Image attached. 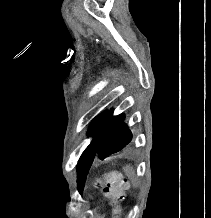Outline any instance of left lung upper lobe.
<instances>
[{
	"instance_id": "obj_1",
	"label": "left lung upper lobe",
	"mask_w": 211,
	"mask_h": 218,
	"mask_svg": "<svg viewBox=\"0 0 211 218\" xmlns=\"http://www.w3.org/2000/svg\"><path fill=\"white\" fill-rule=\"evenodd\" d=\"M113 111L105 110L93 119L88 136L92 140L81 155L77 166V184L81 192L89 169L95 157L104 159L110 154L121 151L132 139V132L124 122L123 114L113 116Z\"/></svg>"
}]
</instances>
